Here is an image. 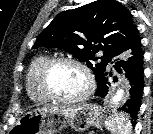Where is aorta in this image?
I'll return each instance as SVG.
<instances>
[{
    "label": "aorta",
    "mask_w": 153,
    "mask_h": 134,
    "mask_svg": "<svg viewBox=\"0 0 153 134\" xmlns=\"http://www.w3.org/2000/svg\"><path fill=\"white\" fill-rule=\"evenodd\" d=\"M123 97H124V89L119 88L111 99V105L112 106L118 105L123 99Z\"/></svg>",
    "instance_id": "aorta-1"
}]
</instances>
